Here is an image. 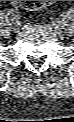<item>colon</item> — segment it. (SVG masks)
I'll list each match as a JSON object with an SVG mask.
<instances>
[{
  "label": "colon",
  "mask_w": 74,
  "mask_h": 122,
  "mask_svg": "<svg viewBox=\"0 0 74 122\" xmlns=\"http://www.w3.org/2000/svg\"><path fill=\"white\" fill-rule=\"evenodd\" d=\"M49 1H20L23 7L37 9L44 7Z\"/></svg>",
  "instance_id": "5ec220e1"
}]
</instances>
